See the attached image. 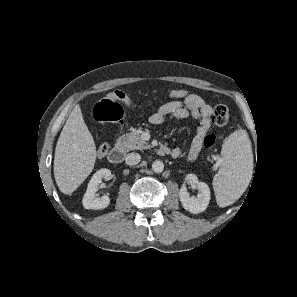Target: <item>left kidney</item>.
Segmentation results:
<instances>
[{
    "label": "left kidney",
    "mask_w": 297,
    "mask_h": 297,
    "mask_svg": "<svg viewBox=\"0 0 297 297\" xmlns=\"http://www.w3.org/2000/svg\"><path fill=\"white\" fill-rule=\"evenodd\" d=\"M185 179L189 183L197 186L199 194L197 197H190L186 186L183 185L179 191V198L182 206L190 213L197 214L203 212L210 201V189L208 185L205 182L198 181L195 174H188Z\"/></svg>",
    "instance_id": "left-kidney-1"
}]
</instances>
